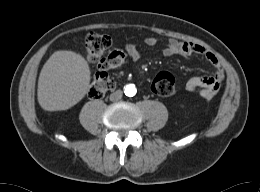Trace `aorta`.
Wrapping results in <instances>:
<instances>
[{"instance_id": "762f6f07", "label": "aorta", "mask_w": 260, "mask_h": 192, "mask_svg": "<svg viewBox=\"0 0 260 192\" xmlns=\"http://www.w3.org/2000/svg\"><path fill=\"white\" fill-rule=\"evenodd\" d=\"M137 92L134 84H128L124 87V93L126 96L133 97Z\"/></svg>"}]
</instances>
